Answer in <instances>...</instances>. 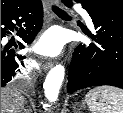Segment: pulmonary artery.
<instances>
[{
    "label": "pulmonary artery",
    "mask_w": 123,
    "mask_h": 113,
    "mask_svg": "<svg viewBox=\"0 0 123 113\" xmlns=\"http://www.w3.org/2000/svg\"><path fill=\"white\" fill-rule=\"evenodd\" d=\"M86 23L90 26V27H93V22H92V19L90 18V16L88 15V13L86 11H82L81 12Z\"/></svg>",
    "instance_id": "pulmonary-artery-1"
}]
</instances>
